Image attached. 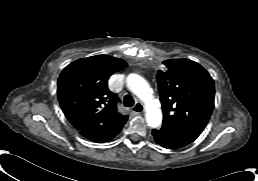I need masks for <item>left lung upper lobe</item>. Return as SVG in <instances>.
Instances as JSON below:
<instances>
[{"label": "left lung upper lobe", "instance_id": "left-lung-upper-lobe-1", "mask_svg": "<svg viewBox=\"0 0 258 181\" xmlns=\"http://www.w3.org/2000/svg\"><path fill=\"white\" fill-rule=\"evenodd\" d=\"M163 64L166 68L157 74L163 125L200 135L214 107L213 79L189 59H170Z\"/></svg>", "mask_w": 258, "mask_h": 181}]
</instances>
